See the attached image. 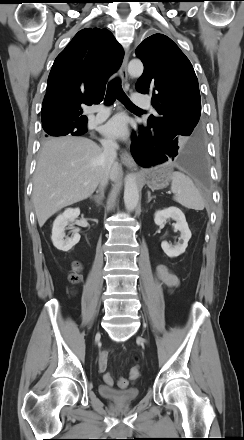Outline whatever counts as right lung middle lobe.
<instances>
[{
  "label": "right lung middle lobe",
  "mask_w": 244,
  "mask_h": 440,
  "mask_svg": "<svg viewBox=\"0 0 244 440\" xmlns=\"http://www.w3.org/2000/svg\"><path fill=\"white\" fill-rule=\"evenodd\" d=\"M43 129L45 131V136H65L67 134L70 135H80L86 132L87 126L84 125H74L68 124L60 121H53L47 124V126L43 125Z\"/></svg>",
  "instance_id": "obj_1"
}]
</instances>
